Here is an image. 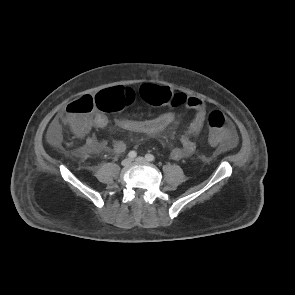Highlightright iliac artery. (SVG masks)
Instances as JSON below:
<instances>
[{"label": "right iliac artery", "mask_w": 295, "mask_h": 295, "mask_svg": "<svg viewBox=\"0 0 295 295\" xmlns=\"http://www.w3.org/2000/svg\"><path fill=\"white\" fill-rule=\"evenodd\" d=\"M136 156H137V153H136L135 151H130V152L128 153V157H129L130 159H134Z\"/></svg>", "instance_id": "1"}]
</instances>
